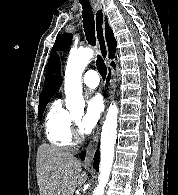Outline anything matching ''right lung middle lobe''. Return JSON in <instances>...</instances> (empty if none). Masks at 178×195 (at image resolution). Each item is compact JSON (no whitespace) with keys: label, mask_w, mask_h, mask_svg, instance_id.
<instances>
[{"label":"right lung middle lobe","mask_w":178,"mask_h":195,"mask_svg":"<svg viewBox=\"0 0 178 195\" xmlns=\"http://www.w3.org/2000/svg\"><path fill=\"white\" fill-rule=\"evenodd\" d=\"M46 105H47V103L42 104V105H39V107H38V118H39V119H42V117H43V112H44V110H45Z\"/></svg>","instance_id":"right-lung-middle-lobe-1"}]
</instances>
